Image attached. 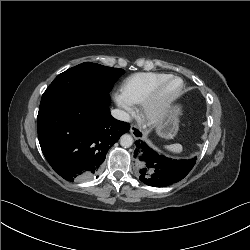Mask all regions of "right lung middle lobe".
Wrapping results in <instances>:
<instances>
[{
    "mask_svg": "<svg viewBox=\"0 0 250 250\" xmlns=\"http://www.w3.org/2000/svg\"><path fill=\"white\" fill-rule=\"evenodd\" d=\"M123 69L111 68L96 63L85 62L59 74L42 95L40 107L46 105L62 93L88 88L109 93Z\"/></svg>",
    "mask_w": 250,
    "mask_h": 250,
    "instance_id": "obj_1",
    "label": "right lung middle lobe"
}]
</instances>
